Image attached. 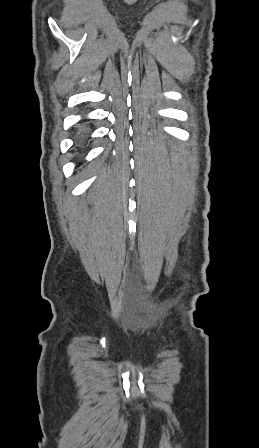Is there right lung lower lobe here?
Instances as JSON below:
<instances>
[{
  "label": "right lung lower lobe",
  "mask_w": 259,
  "mask_h": 448,
  "mask_svg": "<svg viewBox=\"0 0 259 448\" xmlns=\"http://www.w3.org/2000/svg\"><path fill=\"white\" fill-rule=\"evenodd\" d=\"M82 123H84V122H82ZM78 131H79V133H78L79 138H78L77 143L79 145L78 149H80V148H82V146H84V143L86 142V140H85V125H81L78 128Z\"/></svg>",
  "instance_id": "obj_1"
}]
</instances>
